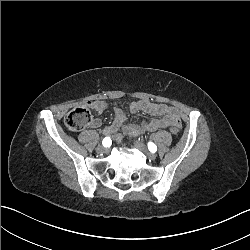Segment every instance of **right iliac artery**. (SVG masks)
Here are the masks:
<instances>
[{
    "instance_id": "obj_1",
    "label": "right iliac artery",
    "mask_w": 250,
    "mask_h": 250,
    "mask_svg": "<svg viewBox=\"0 0 250 250\" xmlns=\"http://www.w3.org/2000/svg\"><path fill=\"white\" fill-rule=\"evenodd\" d=\"M104 147H110L112 144V140L110 137H105L102 141Z\"/></svg>"
}]
</instances>
